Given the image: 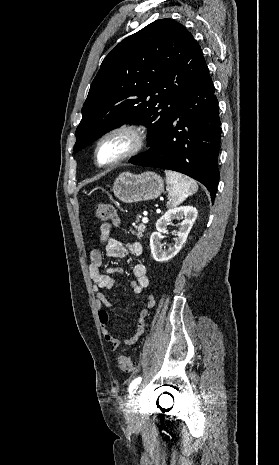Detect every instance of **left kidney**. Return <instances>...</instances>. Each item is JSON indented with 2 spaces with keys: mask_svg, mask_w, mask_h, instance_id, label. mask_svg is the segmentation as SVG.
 Segmentation results:
<instances>
[{
  "mask_svg": "<svg viewBox=\"0 0 279 465\" xmlns=\"http://www.w3.org/2000/svg\"><path fill=\"white\" fill-rule=\"evenodd\" d=\"M197 209L193 206H181L169 209L156 222V232L150 236V248L154 260L158 262H166L171 260L181 250L187 240V236L197 218ZM182 220L179 230L176 231L177 238L175 244L168 250H163L161 246L162 232L166 226L173 220Z\"/></svg>",
  "mask_w": 279,
  "mask_h": 465,
  "instance_id": "left-kidney-1",
  "label": "left kidney"
}]
</instances>
